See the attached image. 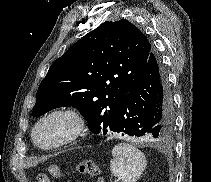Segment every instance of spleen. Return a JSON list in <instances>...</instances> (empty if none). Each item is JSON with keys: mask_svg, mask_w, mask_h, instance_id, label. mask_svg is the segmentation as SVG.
<instances>
[{"mask_svg": "<svg viewBox=\"0 0 211 182\" xmlns=\"http://www.w3.org/2000/svg\"><path fill=\"white\" fill-rule=\"evenodd\" d=\"M112 156L110 171L112 175L120 178L122 182H136L147 165L142 151L127 143L115 145Z\"/></svg>", "mask_w": 211, "mask_h": 182, "instance_id": "3e777b00", "label": "spleen"}]
</instances>
